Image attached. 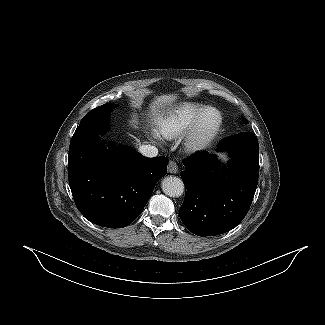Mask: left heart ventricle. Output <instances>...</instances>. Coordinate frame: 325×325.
Masks as SVG:
<instances>
[{
	"instance_id": "left-heart-ventricle-1",
	"label": "left heart ventricle",
	"mask_w": 325,
	"mask_h": 325,
	"mask_svg": "<svg viewBox=\"0 0 325 325\" xmlns=\"http://www.w3.org/2000/svg\"><path fill=\"white\" fill-rule=\"evenodd\" d=\"M215 118H216V115L215 114H209L208 116H207V118H206V123L207 124H211V123H213L214 122V120H215Z\"/></svg>"
}]
</instances>
